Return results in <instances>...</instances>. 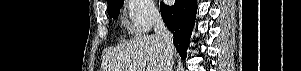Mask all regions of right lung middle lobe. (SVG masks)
Returning <instances> with one entry per match:
<instances>
[{
    "instance_id": "1",
    "label": "right lung middle lobe",
    "mask_w": 301,
    "mask_h": 71,
    "mask_svg": "<svg viewBox=\"0 0 301 71\" xmlns=\"http://www.w3.org/2000/svg\"><path fill=\"white\" fill-rule=\"evenodd\" d=\"M124 0H112L108 3V15L112 18H117L119 15L120 7Z\"/></svg>"
}]
</instances>
